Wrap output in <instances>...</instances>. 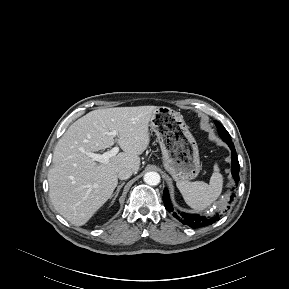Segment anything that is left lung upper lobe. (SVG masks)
<instances>
[{
  "label": "left lung upper lobe",
  "instance_id": "5c2ea615",
  "mask_svg": "<svg viewBox=\"0 0 289 289\" xmlns=\"http://www.w3.org/2000/svg\"><path fill=\"white\" fill-rule=\"evenodd\" d=\"M215 125L218 129V133H219V136L224 139V138H230V135L228 133V131L224 128V126L218 122V121H215Z\"/></svg>",
  "mask_w": 289,
  "mask_h": 289
}]
</instances>
